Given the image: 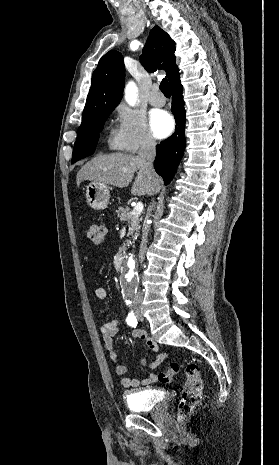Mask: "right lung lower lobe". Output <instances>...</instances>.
<instances>
[{"label":"right lung lower lobe","instance_id":"1","mask_svg":"<svg viewBox=\"0 0 279 465\" xmlns=\"http://www.w3.org/2000/svg\"><path fill=\"white\" fill-rule=\"evenodd\" d=\"M173 92L172 112L175 115L176 131L168 139L162 141L156 147V159L154 167L162 176L165 185L172 180L176 167L182 158L185 148V109L180 80L171 86Z\"/></svg>","mask_w":279,"mask_h":465}]
</instances>
